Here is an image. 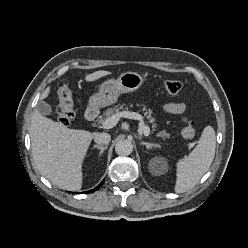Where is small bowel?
I'll return each instance as SVG.
<instances>
[{
  "label": "small bowel",
  "instance_id": "1",
  "mask_svg": "<svg viewBox=\"0 0 248 248\" xmlns=\"http://www.w3.org/2000/svg\"><path fill=\"white\" fill-rule=\"evenodd\" d=\"M164 110L169 114L181 115L186 110L184 103H169L164 106Z\"/></svg>",
  "mask_w": 248,
  "mask_h": 248
}]
</instances>
